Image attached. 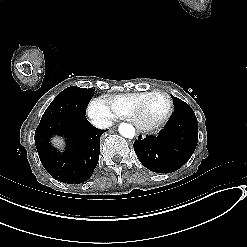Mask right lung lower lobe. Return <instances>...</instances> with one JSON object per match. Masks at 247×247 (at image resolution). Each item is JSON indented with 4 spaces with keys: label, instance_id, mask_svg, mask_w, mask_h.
<instances>
[{
    "label": "right lung lower lobe",
    "instance_id": "98d812e1",
    "mask_svg": "<svg viewBox=\"0 0 247 247\" xmlns=\"http://www.w3.org/2000/svg\"><path fill=\"white\" fill-rule=\"evenodd\" d=\"M103 130L92 126L86 117H63L40 122L35 131V145L43 167L58 181L84 183L97 166ZM63 135L67 139L60 154L50 139Z\"/></svg>",
    "mask_w": 247,
    "mask_h": 247
}]
</instances>
